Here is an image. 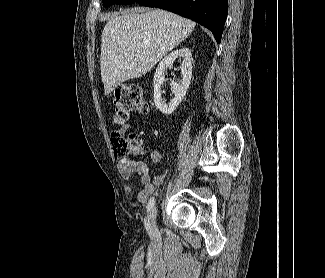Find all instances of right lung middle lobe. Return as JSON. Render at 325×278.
I'll return each mask as SVG.
<instances>
[{
    "label": "right lung middle lobe",
    "instance_id": "right-lung-middle-lobe-1",
    "mask_svg": "<svg viewBox=\"0 0 325 278\" xmlns=\"http://www.w3.org/2000/svg\"><path fill=\"white\" fill-rule=\"evenodd\" d=\"M137 0H102L105 7L111 6L112 4H132Z\"/></svg>",
    "mask_w": 325,
    "mask_h": 278
}]
</instances>
